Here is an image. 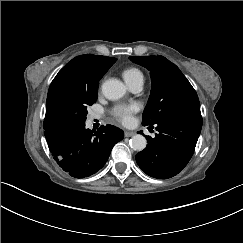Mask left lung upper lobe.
I'll return each instance as SVG.
<instances>
[{"label":"left lung upper lobe","instance_id":"left-lung-upper-lobe-1","mask_svg":"<svg viewBox=\"0 0 243 243\" xmlns=\"http://www.w3.org/2000/svg\"><path fill=\"white\" fill-rule=\"evenodd\" d=\"M130 59L146 67L151 74V94L143 112L144 126L180 114L201 116L197 93L175 64L160 55Z\"/></svg>","mask_w":243,"mask_h":243}]
</instances>
